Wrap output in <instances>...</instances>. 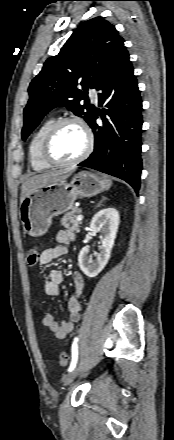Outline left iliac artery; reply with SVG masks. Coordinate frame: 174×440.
<instances>
[{"label": "left iliac artery", "instance_id": "left-iliac-artery-1", "mask_svg": "<svg viewBox=\"0 0 174 440\" xmlns=\"http://www.w3.org/2000/svg\"><path fill=\"white\" fill-rule=\"evenodd\" d=\"M77 342H78V338H75L74 342L72 344V360H71L70 366L68 368L69 372H71L76 367V364H77V361H78V345H77Z\"/></svg>", "mask_w": 174, "mask_h": 440}]
</instances>
